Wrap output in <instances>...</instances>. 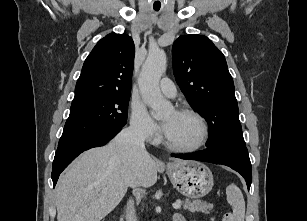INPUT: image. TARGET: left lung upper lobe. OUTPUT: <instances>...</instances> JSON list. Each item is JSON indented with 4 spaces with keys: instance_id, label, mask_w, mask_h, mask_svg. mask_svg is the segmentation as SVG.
Instances as JSON below:
<instances>
[{
    "instance_id": "left-lung-upper-lobe-1",
    "label": "left lung upper lobe",
    "mask_w": 307,
    "mask_h": 221,
    "mask_svg": "<svg viewBox=\"0 0 307 221\" xmlns=\"http://www.w3.org/2000/svg\"><path fill=\"white\" fill-rule=\"evenodd\" d=\"M172 60L177 84L190 106L209 124L207 147L224 146L248 154L223 53L208 37L191 34L173 43Z\"/></svg>"
}]
</instances>
